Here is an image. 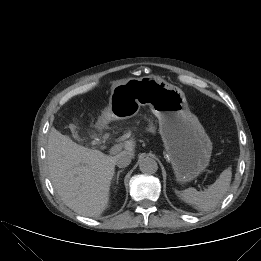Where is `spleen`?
Segmentation results:
<instances>
[{"instance_id": "obj_1", "label": "spleen", "mask_w": 261, "mask_h": 261, "mask_svg": "<svg viewBox=\"0 0 261 261\" xmlns=\"http://www.w3.org/2000/svg\"><path fill=\"white\" fill-rule=\"evenodd\" d=\"M232 172L230 168L225 169L219 178L204 191L188 188L178 194L179 198L200 211L214 209L230 187Z\"/></svg>"}]
</instances>
